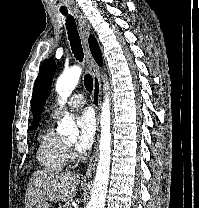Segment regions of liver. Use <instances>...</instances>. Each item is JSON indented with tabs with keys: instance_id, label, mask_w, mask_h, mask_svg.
Returning a JSON list of instances; mask_svg holds the SVG:
<instances>
[{
	"instance_id": "liver-1",
	"label": "liver",
	"mask_w": 199,
	"mask_h": 208,
	"mask_svg": "<svg viewBox=\"0 0 199 208\" xmlns=\"http://www.w3.org/2000/svg\"><path fill=\"white\" fill-rule=\"evenodd\" d=\"M80 174L67 171L37 170L32 173L25 195V208L38 202H63L76 196Z\"/></svg>"
}]
</instances>
